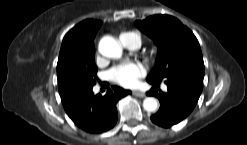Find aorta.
<instances>
[{"label":"aorta","instance_id":"aorta-1","mask_svg":"<svg viewBox=\"0 0 247 145\" xmlns=\"http://www.w3.org/2000/svg\"><path fill=\"white\" fill-rule=\"evenodd\" d=\"M122 51V46L111 36L103 37L99 43V52L105 57L120 58ZM143 108L148 112H154L158 108V101L154 97H147L143 101Z\"/></svg>","mask_w":247,"mask_h":145}]
</instances>
